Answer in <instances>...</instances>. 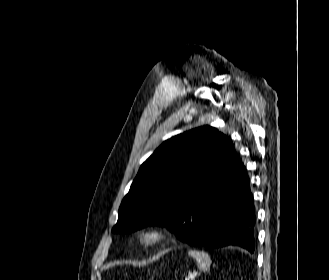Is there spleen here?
<instances>
[{
	"instance_id": "1",
	"label": "spleen",
	"mask_w": 329,
	"mask_h": 280,
	"mask_svg": "<svg viewBox=\"0 0 329 280\" xmlns=\"http://www.w3.org/2000/svg\"><path fill=\"white\" fill-rule=\"evenodd\" d=\"M188 255L196 260L200 270L208 272L210 270L211 260L207 253L203 251H188Z\"/></svg>"
}]
</instances>
